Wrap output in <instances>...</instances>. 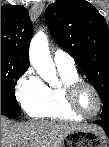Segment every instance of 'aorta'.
Returning a JSON list of instances; mask_svg holds the SVG:
<instances>
[{"label":"aorta","instance_id":"762f6f07","mask_svg":"<svg viewBox=\"0 0 109 147\" xmlns=\"http://www.w3.org/2000/svg\"><path fill=\"white\" fill-rule=\"evenodd\" d=\"M29 58L41 78L50 85L57 83L56 69L49 51L47 35L39 31L31 40Z\"/></svg>","mask_w":109,"mask_h":147}]
</instances>
